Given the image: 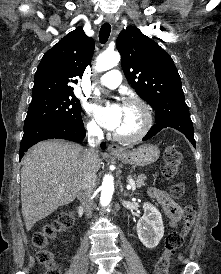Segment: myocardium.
<instances>
[{"instance_id": "f54148a6", "label": "myocardium", "mask_w": 221, "mask_h": 274, "mask_svg": "<svg viewBox=\"0 0 221 274\" xmlns=\"http://www.w3.org/2000/svg\"><path fill=\"white\" fill-rule=\"evenodd\" d=\"M123 105H136L143 114V124L138 131L132 134H121L114 131L113 136L121 142H135L142 139L151 129L153 124V113L149 104L139 97H128L123 101Z\"/></svg>"}]
</instances>
